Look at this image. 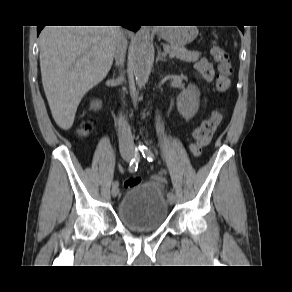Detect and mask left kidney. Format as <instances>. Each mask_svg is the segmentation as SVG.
<instances>
[{
	"mask_svg": "<svg viewBox=\"0 0 292 292\" xmlns=\"http://www.w3.org/2000/svg\"><path fill=\"white\" fill-rule=\"evenodd\" d=\"M178 112L186 119H191L199 108V92L195 85H189L177 96Z\"/></svg>",
	"mask_w": 292,
	"mask_h": 292,
	"instance_id": "left-kidney-1",
	"label": "left kidney"
}]
</instances>
